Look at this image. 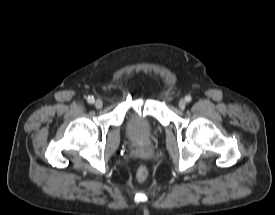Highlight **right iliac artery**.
I'll return each mask as SVG.
<instances>
[{
  "label": "right iliac artery",
  "mask_w": 275,
  "mask_h": 215,
  "mask_svg": "<svg viewBox=\"0 0 275 215\" xmlns=\"http://www.w3.org/2000/svg\"><path fill=\"white\" fill-rule=\"evenodd\" d=\"M87 101H88V103H90V104L94 103V97H93V96H89V97L87 98Z\"/></svg>",
  "instance_id": "right-iliac-artery-1"
}]
</instances>
